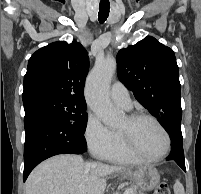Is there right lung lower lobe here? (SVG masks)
Wrapping results in <instances>:
<instances>
[{"mask_svg":"<svg viewBox=\"0 0 201 194\" xmlns=\"http://www.w3.org/2000/svg\"><path fill=\"white\" fill-rule=\"evenodd\" d=\"M24 126V181L36 165L51 156L82 154L87 150L84 136L51 112L38 108L25 110Z\"/></svg>","mask_w":201,"mask_h":194,"instance_id":"1","label":"right lung lower lobe"}]
</instances>
